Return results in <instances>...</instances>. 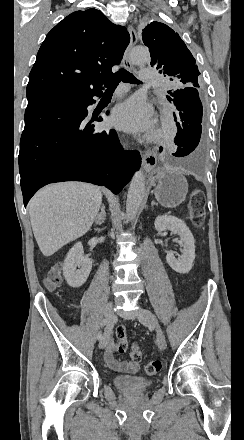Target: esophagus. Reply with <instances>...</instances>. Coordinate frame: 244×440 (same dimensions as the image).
I'll return each instance as SVG.
<instances>
[{"label":"esophagus","instance_id":"1","mask_svg":"<svg viewBox=\"0 0 244 440\" xmlns=\"http://www.w3.org/2000/svg\"><path fill=\"white\" fill-rule=\"evenodd\" d=\"M128 31L130 34V44L128 45L123 59H122V65L128 69L131 70L132 69V63L130 60V54H131V50L134 47V45H136L138 37L137 34L134 30V28L129 25L128 26ZM142 163H143V168L148 171L152 168L155 167V165L157 164V157L156 154L153 150H146L143 154H142Z\"/></svg>","mask_w":244,"mask_h":440}]
</instances>
